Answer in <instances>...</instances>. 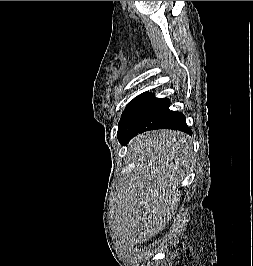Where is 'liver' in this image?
Listing matches in <instances>:
<instances>
[{"mask_svg": "<svg viewBox=\"0 0 253 266\" xmlns=\"http://www.w3.org/2000/svg\"><path fill=\"white\" fill-rule=\"evenodd\" d=\"M189 137L172 130H155L129 144L135 170L117 200L118 232L134 245L161 232L178 207L174 186L185 177L192 158Z\"/></svg>", "mask_w": 253, "mask_h": 266, "instance_id": "liver-1", "label": "liver"}]
</instances>
